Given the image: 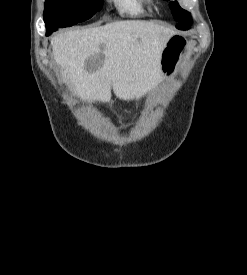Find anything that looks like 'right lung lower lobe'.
Returning a JSON list of instances; mask_svg holds the SVG:
<instances>
[{"mask_svg": "<svg viewBox=\"0 0 247 275\" xmlns=\"http://www.w3.org/2000/svg\"><path fill=\"white\" fill-rule=\"evenodd\" d=\"M51 33L50 32H46V35L48 36V35H50Z\"/></svg>", "mask_w": 247, "mask_h": 275, "instance_id": "obj_1", "label": "right lung lower lobe"}]
</instances>
